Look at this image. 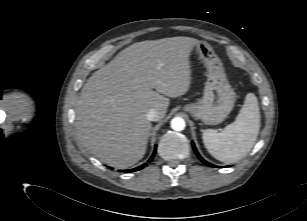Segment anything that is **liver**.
Returning a JSON list of instances; mask_svg holds the SVG:
<instances>
[{
    "label": "liver",
    "instance_id": "6515ba94",
    "mask_svg": "<svg viewBox=\"0 0 307 221\" xmlns=\"http://www.w3.org/2000/svg\"><path fill=\"white\" fill-rule=\"evenodd\" d=\"M198 40L171 37L137 42L95 71L76 103L79 141L99 160L126 169L140 161L156 109L160 120L169 98L190 87L189 56Z\"/></svg>",
    "mask_w": 307,
    "mask_h": 221
}]
</instances>
